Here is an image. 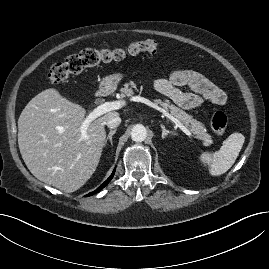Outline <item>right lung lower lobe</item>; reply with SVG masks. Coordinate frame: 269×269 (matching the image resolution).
<instances>
[{
	"mask_svg": "<svg viewBox=\"0 0 269 269\" xmlns=\"http://www.w3.org/2000/svg\"><path fill=\"white\" fill-rule=\"evenodd\" d=\"M114 173H115V169H114L113 173L110 175V177L100 187H98L95 191L90 192L87 196H91L95 193H98L100 190H102L111 181V179L114 176Z\"/></svg>",
	"mask_w": 269,
	"mask_h": 269,
	"instance_id": "1",
	"label": "right lung lower lobe"
}]
</instances>
